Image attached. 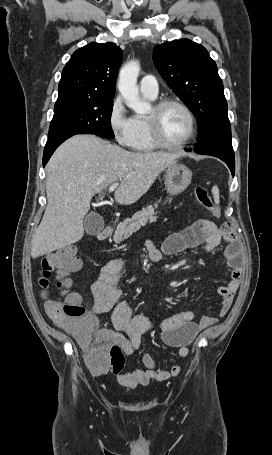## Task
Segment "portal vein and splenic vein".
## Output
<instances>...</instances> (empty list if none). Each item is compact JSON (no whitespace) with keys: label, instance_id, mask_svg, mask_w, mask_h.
<instances>
[{"label":"portal vein and splenic vein","instance_id":"obj_1","mask_svg":"<svg viewBox=\"0 0 272 455\" xmlns=\"http://www.w3.org/2000/svg\"><path fill=\"white\" fill-rule=\"evenodd\" d=\"M118 186V183H113L110 187H109V192H112L114 191Z\"/></svg>","mask_w":272,"mask_h":455}]
</instances>
